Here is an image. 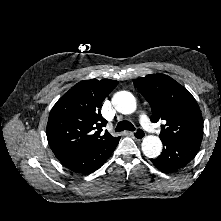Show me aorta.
Returning a JSON list of instances; mask_svg holds the SVG:
<instances>
[{
	"mask_svg": "<svg viewBox=\"0 0 221 221\" xmlns=\"http://www.w3.org/2000/svg\"><path fill=\"white\" fill-rule=\"evenodd\" d=\"M115 109L122 114H132L137 107L136 99L130 92H117L112 98ZM144 155L148 158H157L162 151V142L155 135L146 136L141 144Z\"/></svg>",
	"mask_w": 221,
	"mask_h": 221,
	"instance_id": "1",
	"label": "aorta"
}]
</instances>
